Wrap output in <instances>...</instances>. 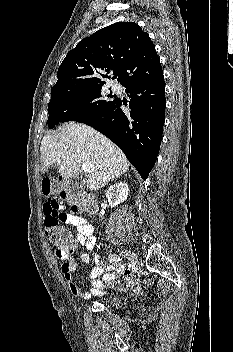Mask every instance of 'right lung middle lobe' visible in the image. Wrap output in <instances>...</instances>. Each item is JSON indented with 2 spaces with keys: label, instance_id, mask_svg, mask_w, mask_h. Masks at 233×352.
I'll use <instances>...</instances> for the list:
<instances>
[{
  "label": "right lung middle lobe",
  "instance_id": "1",
  "mask_svg": "<svg viewBox=\"0 0 233 352\" xmlns=\"http://www.w3.org/2000/svg\"><path fill=\"white\" fill-rule=\"evenodd\" d=\"M103 85L56 88L51 91L48 105V126L54 128L60 122L78 121L92 116L107 107L114 100H104ZM112 98V95H109Z\"/></svg>",
  "mask_w": 233,
  "mask_h": 352
}]
</instances>
